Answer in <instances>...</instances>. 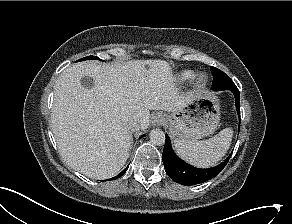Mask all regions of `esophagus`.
Instances as JSON below:
<instances>
[{
    "label": "esophagus",
    "instance_id": "esophagus-1",
    "mask_svg": "<svg viewBox=\"0 0 292 224\" xmlns=\"http://www.w3.org/2000/svg\"><path fill=\"white\" fill-rule=\"evenodd\" d=\"M165 121V116L162 113H155L152 116V124L154 126H160L164 123Z\"/></svg>",
    "mask_w": 292,
    "mask_h": 224
}]
</instances>
